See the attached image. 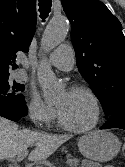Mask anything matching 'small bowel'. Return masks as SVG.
Returning <instances> with one entry per match:
<instances>
[{"mask_svg":"<svg viewBox=\"0 0 125 167\" xmlns=\"http://www.w3.org/2000/svg\"><path fill=\"white\" fill-rule=\"evenodd\" d=\"M95 167H98V166H95ZM106 167H113V166H106Z\"/></svg>","mask_w":125,"mask_h":167,"instance_id":"small-bowel-1","label":"small bowel"}]
</instances>
